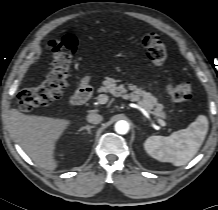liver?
<instances>
[{
    "mask_svg": "<svg viewBox=\"0 0 218 210\" xmlns=\"http://www.w3.org/2000/svg\"><path fill=\"white\" fill-rule=\"evenodd\" d=\"M13 128L20 145L40 167L55 170L58 166L54 158L56 142L71 124L65 118L25 115L12 111Z\"/></svg>",
    "mask_w": 218,
    "mask_h": 210,
    "instance_id": "liver-1",
    "label": "liver"
}]
</instances>
